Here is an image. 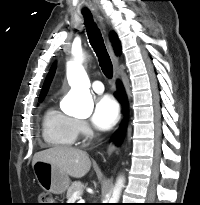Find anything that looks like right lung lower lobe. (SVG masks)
I'll list each match as a JSON object with an SVG mask.
<instances>
[{
    "instance_id": "98d812e1",
    "label": "right lung lower lobe",
    "mask_w": 200,
    "mask_h": 205,
    "mask_svg": "<svg viewBox=\"0 0 200 205\" xmlns=\"http://www.w3.org/2000/svg\"><path fill=\"white\" fill-rule=\"evenodd\" d=\"M118 88H119V94H118V96H117V99H118L120 102H124V101H125V94H124L123 88H122V86H121L120 83H118ZM123 127H125V125H124ZM117 139H118L117 142H119L120 139H121V136H120L119 138H117Z\"/></svg>"
}]
</instances>
